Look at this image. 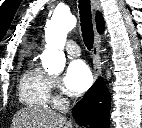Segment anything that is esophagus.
I'll use <instances>...</instances> for the list:
<instances>
[{
    "mask_svg": "<svg viewBox=\"0 0 142 128\" xmlns=\"http://www.w3.org/2000/svg\"><path fill=\"white\" fill-rule=\"evenodd\" d=\"M91 6L94 13L100 10L99 0H91ZM100 42L101 37L99 33L95 30L94 45L92 50L93 74L95 79H97L100 74Z\"/></svg>",
    "mask_w": 142,
    "mask_h": 128,
    "instance_id": "1",
    "label": "esophagus"
}]
</instances>
